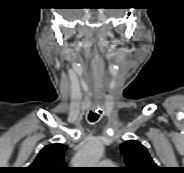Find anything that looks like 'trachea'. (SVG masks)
Here are the masks:
<instances>
[{
    "mask_svg": "<svg viewBox=\"0 0 184 173\" xmlns=\"http://www.w3.org/2000/svg\"><path fill=\"white\" fill-rule=\"evenodd\" d=\"M88 119L90 122H95L98 119V116L96 114L90 113Z\"/></svg>",
    "mask_w": 184,
    "mask_h": 173,
    "instance_id": "trachea-1",
    "label": "trachea"
}]
</instances>
